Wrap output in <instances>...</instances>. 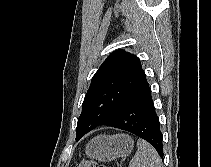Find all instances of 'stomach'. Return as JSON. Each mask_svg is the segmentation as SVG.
<instances>
[{
    "mask_svg": "<svg viewBox=\"0 0 211 167\" xmlns=\"http://www.w3.org/2000/svg\"><path fill=\"white\" fill-rule=\"evenodd\" d=\"M133 146L134 142L128 135H100L86 145L85 153L89 158L108 162L127 157L132 152Z\"/></svg>",
    "mask_w": 211,
    "mask_h": 167,
    "instance_id": "obj_1",
    "label": "stomach"
}]
</instances>
